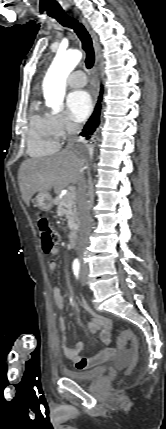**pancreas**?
Returning a JSON list of instances; mask_svg holds the SVG:
<instances>
[{
	"label": "pancreas",
	"mask_w": 166,
	"mask_h": 429,
	"mask_svg": "<svg viewBox=\"0 0 166 429\" xmlns=\"http://www.w3.org/2000/svg\"><path fill=\"white\" fill-rule=\"evenodd\" d=\"M57 205V214L59 216H65L69 229L75 231L78 226V218L74 199H68L65 195L61 200L57 201Z\"/></svg>",
	"instance_id": "obj_1"
}]
</instances>
